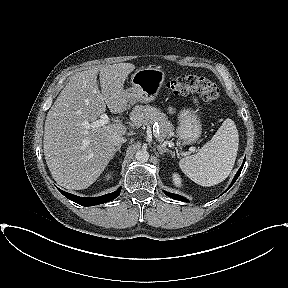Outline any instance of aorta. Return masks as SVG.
<instances>
[{"mask_svg":"<svg viewBox=\"0 0 288 288\" xmlns=\"http://www.w3.org/2000/svg\"><path fill=\"white\" fill-rule=\"evenodd\" d=\"M149 156H150V155H149L148 151L142 149V150H138V151L136 152L135 158H136L137 161H139V162H141V163H144V162H147V161H148Z\"/></svg>","mask_w":288,"mask_h":288,"instance_id":"1","label":"aorta"}]
</instances>
